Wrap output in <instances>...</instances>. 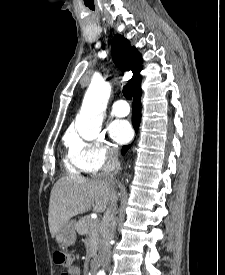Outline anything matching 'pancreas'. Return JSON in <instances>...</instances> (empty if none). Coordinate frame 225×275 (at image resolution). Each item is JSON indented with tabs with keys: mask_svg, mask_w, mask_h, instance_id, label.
<instances>
[{
	"mask_svg": "<svg viewBox=\"0 0 225 275\" xmlns=\"http://www.w3.org/2000/svg\"><path fill=\"white\" fill-rule=\"evenodd\" d=\"M75 229L78 232V234L86 235L89 237V254L94 255L97 244L99 242V221L93 220L90 216H85L75 224Z\"/></svg>",
	"mask_w": 225,
	"mask_h": 275,
	"instance_id": "cf45deb5",
	"label": "pancreas"
}]
</instances>
